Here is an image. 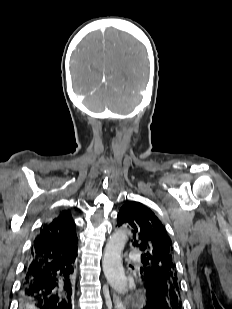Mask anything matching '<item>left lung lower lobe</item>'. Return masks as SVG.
I'll return each instance as SVG.
<instances>
[{"mask_svg":"<svg viewBox=\"0 0 232 309\" xmlns=\"http://www.w3.org/2000/svg\"><path fill=\"white\" fill-rule=\"evenodd\" d=\"M146 290V304L143 309H182V302L169 300L153 282L143 278Z\"/></svg>","mask_w":232,"mask_h":309,"instance_id":"obj_1","label":"left lung lower lobe"}]
</instances>
